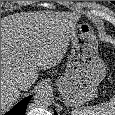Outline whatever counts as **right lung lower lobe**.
<instances>
[{
	"label": "right lung lower lobe",
	"instance_id": "right-lung-lower-lobe-1",
	"mask_svg": "<svg viewBox=\"0 0 115 115\" xmlns=\"http://www.w3.org/2000/svg\"><path fill=\"white\" fill-rule=\"evenodd\" d=\"M32 96L26 97L21 102H19L13 109H11L5 115H24L26 111L27 104Z\"/></svg>",
	"mask_w": 115,
	"mask_h": 115
}]
</instances>
